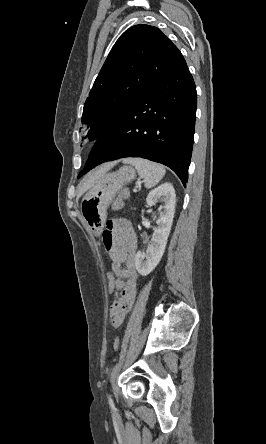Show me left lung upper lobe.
<instances>
[{
  "label": "left lung upper lobe",
  "instance_id": "1",
  "mask_svg": "<svg viewBox=\"0 0 266 444\" xmlns=\"http://www.w3.org/2000/svg\"><path fill=\"white\" fill-rule=\"evenodd\" d=\"M183 60L179 49L156 27L139 24L125 31L110 51L84 104L82 122L89 128L86 137L94 140L103 136Z\"/></svg>",
  "mask_w": 266,
  "mask_h": 444
}]
</instances>
